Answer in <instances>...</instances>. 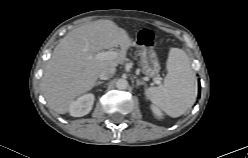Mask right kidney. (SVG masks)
Masks as SVG:
<instances>
[{"instance_id": "right-kidney-1", "label": "right kidney", "mask_w": 248, "mask_h": 158, "mask_svg": "<svg viewBox=\"0 0 248 158\" xmlns=\"http://www.w3.org/2000/svg\"><path fill=\"white\" fill-rule=\"evenodd\" d=\"M95 96L92 93L85 94L73 101L69 106V113L73 117H81L88 114L94 104Z\"/></svg>"}]
</instances>
